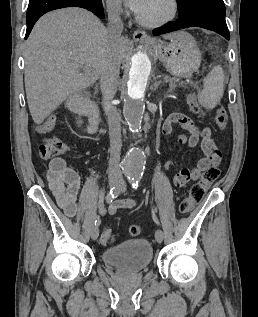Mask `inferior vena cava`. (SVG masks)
<instances>
[{"mask_svg":"<svg viewBox=\"0 0 258 317\" xmlns=\"http://www.w3.org/2000/svg\"><path fill=\"white\" fill-rule=\"evenodd\" d=\"M107 12L109 24L107 26V46L108 52L104 56L100 70V86L103 94V104L107 110L110 134V161H109V179L111 181L121 180L119 161L121 154V116L111 100L116 92L120 62L116 52V44L121 38L123 24L120 16V6L107 0Z\"/></svg>","mask_w":258,"mask_h":317,"instance_id":"obj_1","label":"inferior vena cava"}]
</instances>
